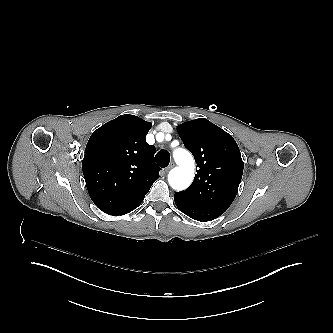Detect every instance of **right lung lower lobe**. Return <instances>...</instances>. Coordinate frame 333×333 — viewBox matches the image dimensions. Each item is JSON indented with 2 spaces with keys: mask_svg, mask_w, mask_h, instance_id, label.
<instances>
[{
  "mask_svg": "<svg viewBox=\"0 0 333 333\" xmlns=\"http://www.w3.org/2000/svg\"><path fill=\"white\" fill-rule=\"evenodd\" d=\"M83 174L87 189L95 186L107 187L106 193L92 200L100 210L114 216L124 215L136 209L154 182L132 177L112 186L113 180L108 165L101 159L94 161Z\"/></svg>",
  "mask_w": 333,
  "mask_h": 333,
  "instance_id": "98d812e1",
  "label": "right lung lower lobe"
}]
</instances>
